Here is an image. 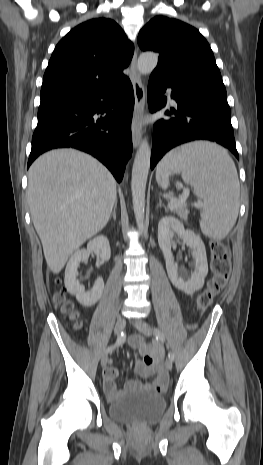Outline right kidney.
Returning <instances> with one entry per match:
<instances>
[{
  "instance_id": "ca27d5eb",
  "label": "right kidney",
  "mask_w": 263,
  "mask_h": 465,
  "mask_svg": "<svg viewBox=\"0 0 263 465\" xmlns=\"http://www.w3.org/2000/svg\"><path fill=\"white\" fill-rule=\"evenodd\" d=\"M92 252L98 254L103 262L110 259L111 250L106 236H97L87 244L86 249L76 251L69 259L65 269L64 283L67 291L75 295L78 302L86 307L94 305L100 299L104 290V281L102 278H97L95 285L90 291H85V287L80 285L77 280V269L80 262L88 260Z\"/></svg>"
}]
</instances>
